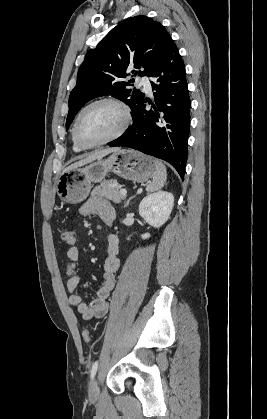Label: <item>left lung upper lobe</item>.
Instances as JSON below:
<instances>
[{"label":"left lung upper lobe","instance_id":"5c2ea615","mask_svg":"<svg viewBox=\"0 0 267 419\" xmlns=\"http://www.w3.org/2000/svg\"><path fill=\"white\" fill-rule=\"evenodd\" d=\"M170 41L169 33L160 22L143 15L130 17L113 28L95 49L88 51L79 68L77 83L69 98L66 129L83 105L99 96L118 98L133 112L145 95L130 89L134 79L124 80L126 72L148 76Z\"/></svg>","mask_w":267,"mask_h":419}]
</instances>
